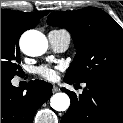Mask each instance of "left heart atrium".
Here are the masks:
<instances>
[{
  "instance_id": "obj_1",
  "label": "left heart atrium",
  "mask_w": 123,
  "mask_h": 123,
  "mask_svg": "<svg viewBox=\"0 0 123 123\" xmlns=\"http://www.w3.org/2000/svg\"><path fill=\"white\" fill-rule=\"evenodd\" d=\"M62 69V66H50L42 65L37 69V72L43 78L49 81H55L58 77V72Z\"/></svg>"
}]
</instances>
